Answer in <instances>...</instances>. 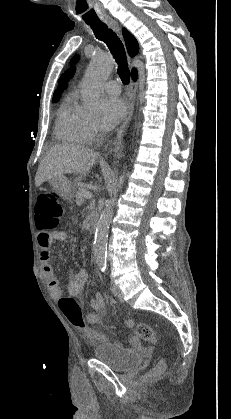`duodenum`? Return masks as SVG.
<instances>
[{
	"mask_svg": "<svg viewBox=\"0 0 231 419\" xmlns=\"http://www.w3.org/2000/svg\"><path fill=\"white\" fill-rule=\"evenodd\" d=\"M99 216L97 214H93L89 218L90 226L95 229L98 225Z\"/></svg>",
	"mask_w": 231,
	"mask_h": 419,
	"instance_id": "obj_1",
	"label": "duodenum"
}]
</instances>
